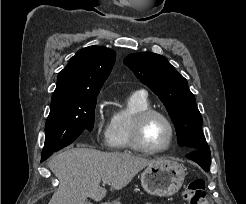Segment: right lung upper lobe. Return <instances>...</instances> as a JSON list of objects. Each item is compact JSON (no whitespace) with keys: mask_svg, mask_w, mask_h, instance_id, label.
Wrapping results in <instances>:
<instances>
[{"mask_svg":"<svg viewBox=\"0 0 246 204\" xmlns=\"http://www.w3.org/2000/svg\"><path fill=\"white\" fill-rule=\"evenodd\" d=\"M116 53L102 46L79 50L59 72L52 101L98 94L115 63Z\"/></svg>","mask_w":246,"mask_h":204,"instance_id":"cb5924a9","label":"right lung upper lobe"}]
</instances>
